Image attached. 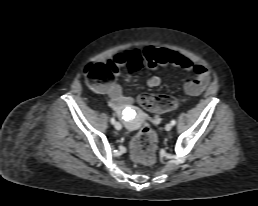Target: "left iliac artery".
I'll return each instance as SVG.
<instances>
[{"instance_id":"44dca946","label":"left iliac artery","mask_w":258,"mask_h":206,"mask_svg":"<svg viewBox=\"0 0 258 206\" xmlns=\"http://www.w3.org/2000/svg\"><path fill=\"white\" fill-rule=\"evenodd\" d=\"M175 124H176V120H172L171 125H175Z\"/></svg>"}]
</instances>
